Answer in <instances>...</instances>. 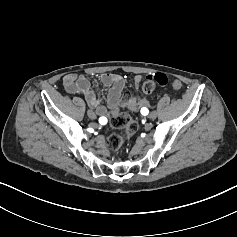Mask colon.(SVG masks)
Wrapping results in <instances>:
<instances>
[{"label":"colon","instance_id":"colon-1","mask_svg":"<svg viewBox=\"0 0 237 237\" xmlns=\"http://www.w3.org/2000/svg\"><path fill=\"white\" fill-rule=\"evenodd\" d=\"M168 82V78L163 73H157L153 78L146 80L142 85L144 93H151L155 89L156 84L164 86ZM110 123L116 129H123L124 135L112 133L107 137L106 144L108 149L115 153L122 145L129 140L138 130V123L128 114L115 110L110 115Z\"/></svg>","mask_w":237,"mask_h":237}]
</instances>
